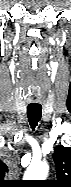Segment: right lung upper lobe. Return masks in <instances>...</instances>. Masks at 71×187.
<instances>
[{
    "mask_svg": "<svg viewBox=\"0 0 71 187\" xmlns=\"http://www.w3.org/2000/svg\"><path fill=\"white\" fill-rule=\"evenodd\" d=\"M7 172H8V168H7V166H6L5 164H3V165H2V170H1L2 176H4L5 173H7Z\"/></svg>",
    "mask_w": 71,
    "mask_h": 187,
    "instance_id": "cb5924a9",
    "label": "right lung upper lobe"
}]
</instances>
